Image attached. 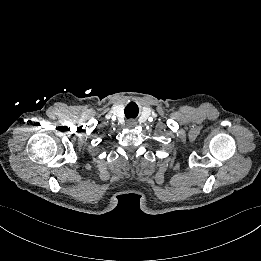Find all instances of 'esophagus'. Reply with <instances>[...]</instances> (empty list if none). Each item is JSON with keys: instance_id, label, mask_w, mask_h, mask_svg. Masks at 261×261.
<instances>
[{"instance_id": "34e87169", "label": "esophagus", "mask_w": 261, "mask_h": 261, "mask_svg": "<svg viewBox=\"0 0 261 261\" xmlns=\"http://www.w3.org/2000/svg\"><path fill=\"white\" fill-rule=\"evenodd\" d=\"M136 125H137V121L134 120V119H129V120L127 121V126H128V127H134V126H136Z\"/></svg>"}]
</instances>
